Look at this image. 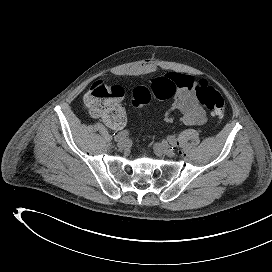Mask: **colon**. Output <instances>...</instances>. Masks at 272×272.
I'll return each mask as SVG.
<instances>
[{"label": "colon", "instance_id": "1", "mask_svg": "<svg viewBox=\"0 0 272 272\" xmlns=\"http://www.w3.org/2000/svg\"><path fill=\"white\" fill-rule=\"evenodd\" d=\"M196 96L200 104L214 117L222 118L226 105L223 96L218 90L205 81H199ZM177 92L176 83L167 77L153 80L149 86L137 87L132 93V104L140 107L152 99H169ZM124 91L120 86L106 85L101 81L92 84L84 97L86 109L93 115L101 118H110L119 112V101Z\"/></svg>", "mask_w": 272, "mask_h": 272}]
</instances>
